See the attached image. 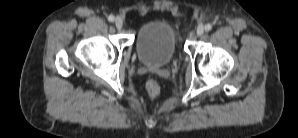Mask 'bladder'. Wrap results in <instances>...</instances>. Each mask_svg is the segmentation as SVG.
Masks as SVG:
<instances>
[{
  "label": "bladder",
  "mask_w": 298,
  "mask_h": 138,
  "mask_svg": "<svg viewBox=\"0 0 298 138\" xmlns=\"http://www.w3.org/2000/svg\"><path fill=\"white\" fill-rule=\"evenodd\" d=\"M178 33L169 21L155 19L143 24L135 39L139 60L148 66L162 67L174 57Z\"/></svg>",
  "instance_id": "31cf9c89"
}]
</instances>
